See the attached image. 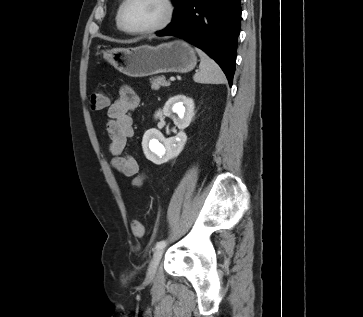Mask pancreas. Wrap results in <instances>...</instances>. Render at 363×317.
<instances>
[{
  "label": "pancreas",
  "instance_id": "cf45deb5",
  "mask_svg": "<svg viewBox=\"0 0 363 317\" xmlns=\"http://www.w3.org/2000/svg\"><path fill=\"white\" fill-rule=\"evenodd\" d=\"M150 82H151L152 90H159L161 86H163V87L170 86V82L166 81L164 76H158L155 78H151Z\"/></svg>",
  "mask_w": 363,
  "mask_h": 317
}]
</instances>
